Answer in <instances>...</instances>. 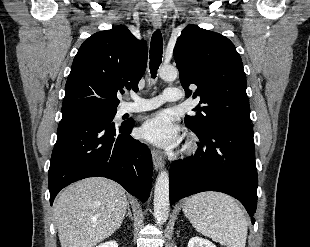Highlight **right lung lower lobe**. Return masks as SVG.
I'll list each match as a JSON object with an SVG mask.
<instances>
[{"instance_id": "1", "label": "right lung lower lobe", "mask_w": 310, "mask_h": 247, "mask_svg": "<svg viewBox=\"0 0 310 247\" xmlns=\"http://www.w3.org/2000/svg\"><path fill=\"white\" fill-rule=\"evenodd\" d=\"M133 126L134 121L115 126L109 117L62 119L48 172L50 204L65 186L93 176L112 179L145 202L152 186V156L130 136Z\"/></svg>"}]
</instances>
